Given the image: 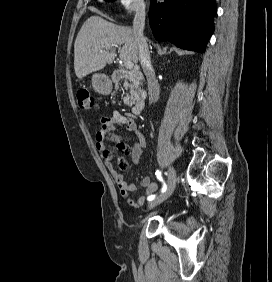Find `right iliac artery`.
Returning a JSON list of instances; mask_svg holds the SVG:
<instances>
[{
    "label": "right iliac artery",
    "instance_id": "82829eb1",
    "mask_svg": "<svg viewBox=\"0 0 272 282\" xmlns=\"http://www.w3.org/2000/svg\"><path fill=\"white\" fill-rule=\"evenodd\" d=\"M156 175H157V178H158L159 180L163 181V180H162V177H161V172H160L159 170L156 171ZM165 190H166V184L163 183V187H162L161 192H164ZM155 197H156V195H150V196L148 197V200H149V201H152Z\"/></svg>",
    "mask_w": 272,
    "mask_h": 282
}]
</instances>
